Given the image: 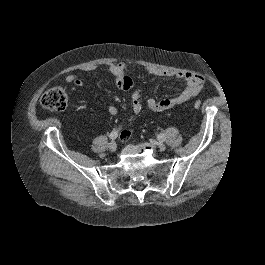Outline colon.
Returning <instances> with one entry per match:
<instances>
[{"label": "colon", "mask_w": 265, "mask_h": 265, "mask_svg": "<svg viewBox=\"0 0 265 265\" xmlns=\"http://www.w3.org/2000/svg\"><path fill=\"white\" fill-rule=\"evenodd\" d=\"M68 103V93L64 88L53 87L48 89L41 97V105L48 110L59 112L63 111ZM193 107L199 109L201 101L194 102Z\"/></svg>", "instance_id": "colon-1"}]
</instances>
